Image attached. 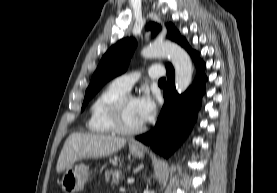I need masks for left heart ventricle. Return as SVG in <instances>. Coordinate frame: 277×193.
<instances>
[{
	"instance_id": "1",
	"label": "left heart ventricle",
	"mask_w": 277,
	"mask_h": 193,
	"mask_svg": "<svg viewBox=\"0 0 277 193\" xmlns=\"http://www.w3.org/2000/svg\"><path fill=\"white\" fill-rule=\"evenodd\" d=\"M123 119L125 125L128 127H137L143 123L136 111L134 98H130L125 102L123 108Z\"/></svg>"
}]
</instances>
